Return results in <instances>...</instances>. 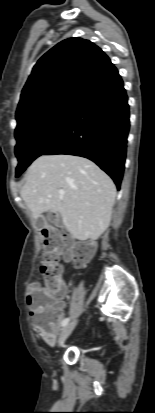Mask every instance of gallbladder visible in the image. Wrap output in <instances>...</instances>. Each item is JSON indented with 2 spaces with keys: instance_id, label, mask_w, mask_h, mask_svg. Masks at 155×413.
Returning <instances> with one entry per match:
<instances>
[{
  "instance_id": "1",
  "label": "gallbladder",
  "mask_w": 155,
  "mask_h": 413,
  "mask_svg": "<svg viewBox=\"0 0 155 413\" xmlns=\"http://www.w3.org/2000/svg\"><path fill=\"white\" fill-rule=\"evenodd\" d=\"M37 224H38V227H45L46 226V222H44V220H42V219H39ZM60 224H61V218L58 217L56 219V225H60Z\"/></svg>"
}]
</instances>
